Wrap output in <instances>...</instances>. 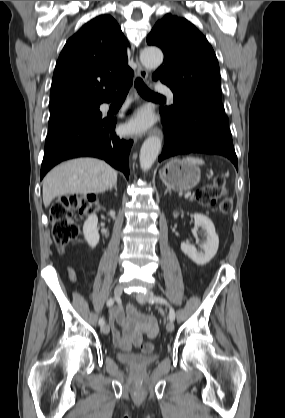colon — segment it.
I'll return each instance as SVG.
<instances>
[{
  "label": "colon",
  "mask_w": 285,
  "mask_h": 418,
  "mask_svg": "<svg viewBox=\"0 0 285 418\" xmlns=\"http://www.w3.org/2000/svg\"><path fill=\"white\" fill-rule=\"evenodd\" d=\"M196 199L203 207L214 206L219 201V209L224 214L229 213L232 208L230 196L221 177H218L212 184L200 188L196 192ZM94 210L95 205L81 195H62L54 202L50 220L53 226L54 242L60 252H63L65 246L74 241L79 234V227L73 221V217L81 212L90 214ZM154 349L155 346L151 342L142 344L144 353H152Z\"/></svg>",
  "instance_id": "5ec220e1"
}]
</instances>
